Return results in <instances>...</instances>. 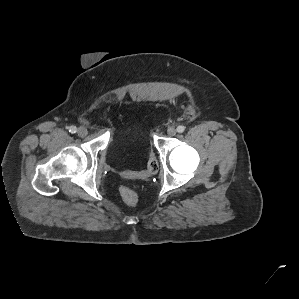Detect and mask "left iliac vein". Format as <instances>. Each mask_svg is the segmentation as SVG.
I'll list each match as a JSON object with an SVG mask.
<instances>
[{
	"mask_svg": "<svg viewBox=\"0 0 299 299\" xmlns=\"http://www.w3.org/2000/svg\"><path fill=\"white\" fill-rule=\"evenodd\" d=\"M167 133L169 136H175L176 133H177V130L174 128V127H169L168 130H167Z\"/></svg>",
	"mask_w": 299,
	"mask_h": 299,
	"instance_id": "left-iliac-vein-1",
	"label": "left iliac vein"
}]
</instances>
